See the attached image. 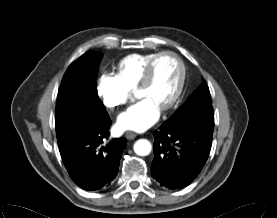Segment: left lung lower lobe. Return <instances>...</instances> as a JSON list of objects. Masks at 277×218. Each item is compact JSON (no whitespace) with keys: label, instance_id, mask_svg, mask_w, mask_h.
<instances>
[{"label":"left lung lower lobe","instance_id":"left-lung-lower-lobe-1","mask_svg":"<svg viewBox=\"0 0 277 218\" xmlns=\"http://www.w3.org/2000/svg\"><path fill=\"white\" fill-rule=\"evenodd\" d=\"M213 130L214 118L162 124L154 133L153 178L169 189L189 185L208 158Z\"/></svg>","mask_w":277,"mask_h":218}]
</instances>
